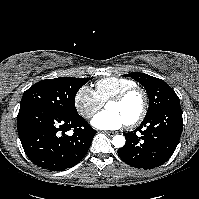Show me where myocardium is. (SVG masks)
<instances>
[{
	"label": "myocardium",
	"instance_id": "myocardium-1",
	"mask_svg": "<svg viewBox=\"0 0 199 199\" xmlns=\"http://www.w3.org/2000/svg\"><path fill=\"white\" fill-rule=\"evenodd\" d=\"M133 93H139L141 95L142 107H141L139 114L133 120L126 123V125L128 127H134V126L138 125L145 118V116L148 112L149 97H148V93L146 92V90L137 85L132 86V87H129V88L123 90L122 92L118 93L117 95H115L114 97H112L111 99H109L107 101V104L112 103V102L120 103V102H123L127 97H129Z\"/></svg>",
	"mask_w": 199,
	"mask_h": 199
}]
</instances>
